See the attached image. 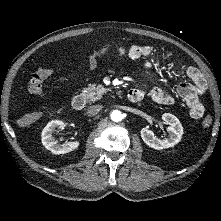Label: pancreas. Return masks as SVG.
<instances>
[{
	"instance_id": "cf45deb5",
	"label": "pancreas",
	"mask_w": 221,
	"mask_h": 221,
	"mask_svg": "<svg viewBox=\"0 0 221 221\" xmlns=\"http://www.w3.org/2000/svg\"><path fill=\"white\" fill-rule=\"evenodd\" d=\"M108 91L102 85L90 84L87 88L82 90L81 96L84 97L88 103L100 100L104 93Z\"/></svg>"
}]
</instances>
